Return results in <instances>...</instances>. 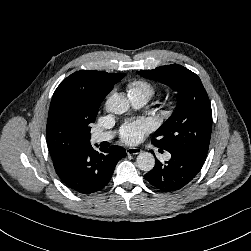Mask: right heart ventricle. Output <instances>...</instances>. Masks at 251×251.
Listing matches in <instances>:
<instances>
[{
    "instance_id": "right-heart-ventricle-1",
    "label": "right heart ventricle",
    "mask_w": 251,
    "mask_h": 251,
    "mask_svg": "<svg viewBox=\"0 0 251 251\" xmlns=\"http://www.w3.org/2000/svg\"><path fill=\"white\" fill-rule=\"evenodd\" d=\"M129 94H145L149 99L154 95L155 88L146 81H135L128 87Z\"/></svg>"
}]
</instances>
